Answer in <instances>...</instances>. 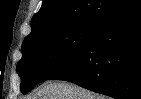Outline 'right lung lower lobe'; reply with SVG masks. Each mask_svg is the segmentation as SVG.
Instances as JSON below:
<instances>
[{"instance_id":"obj_1","label":"right lung lower lobe","mask_w":141,"mask_h":99,"mask_svg":"<svg viewBox=\"0 0 141 99\" xmlns=\"http://www.w3.org/2000/svg\"><path fill=\"white\" fill-rule=\"evenodd\" d=\"M48 80L116 99H141V0L103 18L86 46Z\"/></svg>"}]
</instances>
